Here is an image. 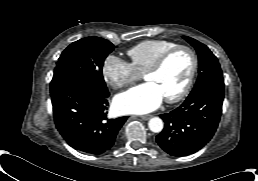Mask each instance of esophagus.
Here are the masks:
<instances>
[{"instance_id":"obj_1","label":"esophagus","mask_w":258,"mask_h":181,"mask_svg":"<svg viewBox=\"0 0 258 181\" xmlns=\"http://www.w3.org/2000/svg\"><path fill=\"white\" fill-rule=\"evenodd\" d=\"M151 117H152V115H144V116H141L140 118L142 120H149Z\"/></svg>"}]
</instances>
